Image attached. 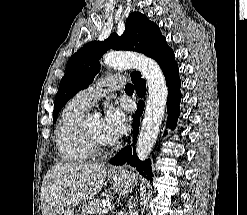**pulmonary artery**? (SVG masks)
<instances>
[{
	"instance_id": "obj_1",
	"label": "pulmonary artery",
	"mask_w": 247,
	"mask_h": 215,
	"mask_svg": "<svg viewBox=\"0 0 247 215\" xmlns=\"http://www.w3.org/2000/svg\"><path fill=\"white\" fill-rule=\"evenodd\" d=\"M125 81V77L120 75L103 77L91 86L78 92L73 100L79 106L89 109L96 101L103 98L107 93L121 89L124 86Z\"/></svg>"
}]
</instances>
